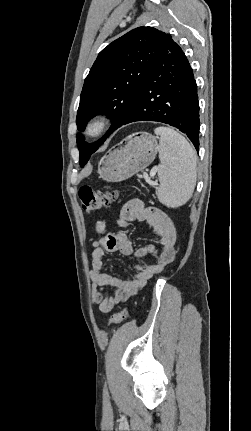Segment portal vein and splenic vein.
<instances>
[{
	"instance_id": "portal-vein-and-splenic-vein-1",
	"label": "portal vein and splenic vein",
	"mask_w": 251,
	"mask_h": 431,
	"mask_svg": "<svg viewBox=\"0 0 251 431\" xmlns=\"http://www.w3.org/2000/svg\"><path fill=\"white\" fill-rule=\"evenodd\" d=\"M157 170H158V168H157V167L153 168V169L151 170V172H150V176H151V177H154V176H155V174H156V172H157ZM144 178H145V179H147V178H148V176H147V175H144Z\"/></svg>"
}]
</instances>
